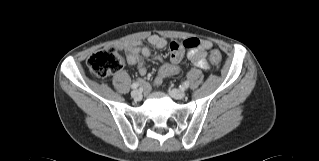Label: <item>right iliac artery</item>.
<instances>
[{"mask_svg": "<svg viewBox=\"0 0 319 161\" xmlns=\"http://www.w3.org/2000/svg\"><path fill=\"white\" fill-rule=\"evenodd\" d=\"M139 87V83L135 82L131 85L132 89H137Z\"/></svg>", "mask_w": 319, "mask_h": 161, "instance_id": "82829eb1", "label": "right iliac artery"}]
</instances>
